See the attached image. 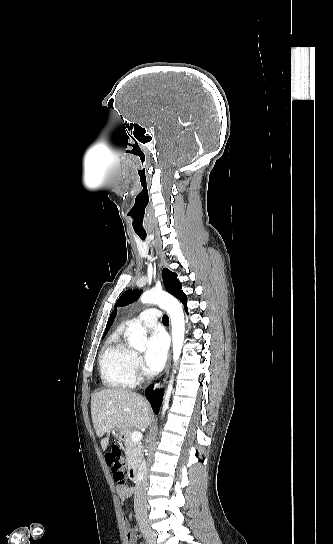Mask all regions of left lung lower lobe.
I'll use <instances>...</instances> for the list:
<instances>
[{"label": "left lung lower lobe", "instance_id": "left-lung-lower-lobe-1", "mask_svg": "<svg viewBox=\"0 0 333 544\" xmlns=\"http://www.w3.org/2000/svg\"><path fill=\"white\" fill-rule=\"evenodd\" d=\"M185 311L188 312L186 302L184 303Z\"/></svg>", "mask_w": 333, "mask_h": 544}]
</instances>
